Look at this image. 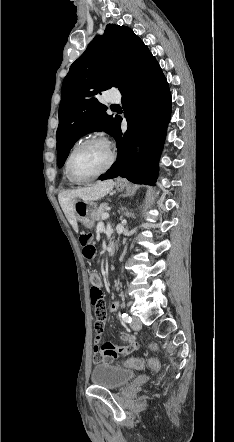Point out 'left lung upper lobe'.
Here are the masks:
<instances>
[{
  "label": "left lung upper lobe",
  "instance_id": "obj_1",
  "mask_svg": "<svg viewBox=\"0 0 234 442\" xmlns=\"http://www.w3.org/2000/svg\"><path fill=\"white\" fill-rule=\"evenodd\" d=\"M151 55L147 46L125 26L108 24L71 65L62 84L57 129V162L61 168L75 142L92 131L114 138L119 116L106 113L97 95L117 87L121 91L140 74Z\"/></svg>",
  "mask_w": 234,
  "mask_h": 442
}]
</instances>
